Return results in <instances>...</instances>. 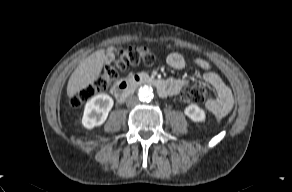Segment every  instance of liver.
Listing matches in <instances>:
<instances>
[{
  "label": "liver",
  "instance_id": "liver-1",
  "mask_svg": "<svg viewBox=\"0 0 292 192\" xmlns=\"http://www.w3.org/2000/svg\"><path fill=\"white\" fill-rule=\"evenodd\" d=\"M105 60V50L100 49L80 62L71 74L67 84V95L73 97L96 81L102 71Z\"/></svg>",
  "mask_w": 292,
  "mask_h": 192
}]
</instances>
